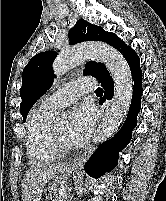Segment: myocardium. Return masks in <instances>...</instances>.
<instances>
[{
    "label": "myocardium",
    "instance_id": "obj_1",
    "mask_svg": "<svg viewBox=\"0 0 166 201\" xmlns=\"http://www.w3.org/2000/svg\"><path fill=\"white\" fill-rule=\"evenodd\" d=\"M51 140L60 153H68L75 149L61 138L54 124L51 125Z\"/></svg>",
    "mask_w": 166,
    "mask_h": 201
}]
</instances>
